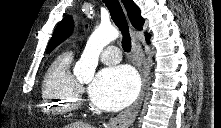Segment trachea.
I'll return each mask as SVG.
<instances>
[{
  "label": "trachea",
  "instance_id": "1",
  "mask_svg": "<svg viewBox=\"0 0 221 128\" xmlns=\"http://www.w3.org/2000/svg\"><path fill=\"white\" fill-rule=\"evenodd\" d=\"M107 6L113 22L122 33V48L125 52L131 50V38L129 28L123 9L118 0H103Z\"/></svg>",
  "mask_w": 221,
  "mask_h": 128
}]
</instances>
